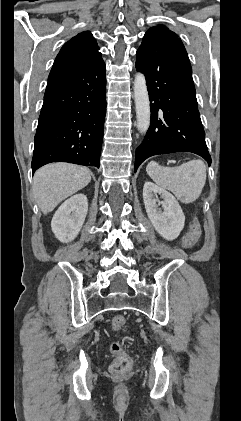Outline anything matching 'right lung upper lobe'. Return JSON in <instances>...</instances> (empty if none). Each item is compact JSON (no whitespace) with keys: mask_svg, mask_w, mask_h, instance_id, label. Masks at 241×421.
I'll use <instances>...</instances> for the list:
<instances>
[{"mask_svg":"<svg viewBox=\"0 0 241 421\" xmlns=\"http://www.w3.org/2000/svg\"><path fill=\"white\" fill-rule=\"evenodd\" d=\"M98 50L97 43L89 31L77 34L61 48L48 79L92 64L101 58Z\"/></svg>","mask_w":241,"mask_h":421,"instance_id":"1","label":"right lung upper lobe"}]
</instances>
